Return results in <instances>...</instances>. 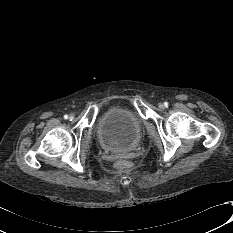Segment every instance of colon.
I'll list each match as a JSON object with an SVG mask.
<instances>
[{
	"mask_svg": "<svg viewBox=\"0 0 233 233\" xmlns=\"http://www.w3.org/2000/svg\"><path fill=\"white\" fill-rule=\"evenodd\" d=\"M117 168L119 169H124L126 167V163L124 161H119L117 164H116Z\"/></svg>",
	"mask_w": 233,
	"mask_h": 233,
	"instance_id": "obj_1",
	"label": "colon"
}]
</instances>
